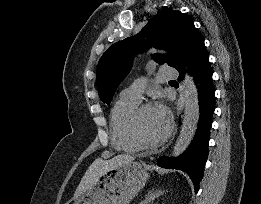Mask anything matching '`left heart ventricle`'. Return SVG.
<instances>
[{
    "label": "left heart ventricle",
    "instance_id": "b2bd125f",
    "mask_svg": "<svg viewBox=\"0 0 261 204\" xmlns=\"http://www.w3.org/2000/svg\"><path fill=\"white\" fill-rule=\"evenodd\" d=\"M140 131L147 141H156L166 132L168 119L159 107H152L144 111L140 119Z\"/></svg>",
    "mask_w": 261,
    "mask_h": 204
}]
</instances>
